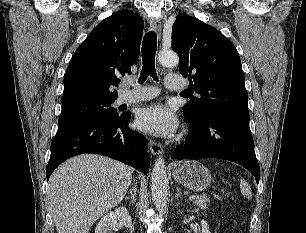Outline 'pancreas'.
Listing matches in <instances>:
<instances>
[{
    "instance_id": "cf45deb5",
    "label": "pancreas",
    "mask_w": 306,
    "mask_h": 233,
    "mask_svg": "<svg viewBox=\"0 0 306 233\" xmlns=\"http://www.w3.org/2000/svg\"><path fill=\"white\" fill-rule=\"evenodd\" d=\"M194 203L201 209H207L210 205V200L206 196H196Z\"/></svg>"
}]
</instances>
